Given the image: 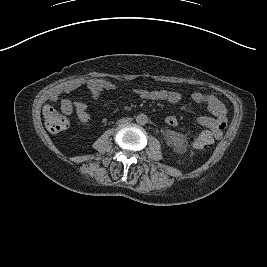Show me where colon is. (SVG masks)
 I'll list each match as a JSON object with an SVG mask.
<instances>
[{"label":"colon","mask_w":267,"mask_h":267,"mask_svg":"<svg viewBox=\"0 0 267 267\" xmlns=\"http://www.w3.org/2000/svg\"><path fill=\"white\" fill-rule=\"evenodd\" d=\"M43 115L47 129L50 132L57 133L67 128V119L61 113L56 111L52 106L46 105L43 108ZM193 146L198 150H206L210 147L207 137L197 134L192 139Z\"/></svg>","instance_id":"5ec220e1"}]
</instances>
